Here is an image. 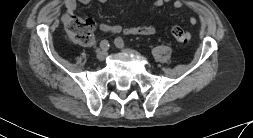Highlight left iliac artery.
<instances>
[{"mask_svg":"<svg viewBox=\"0 0 253 138\" xmlns=\"http://www.w3.org/2000/svg\"><path fill=\"white\" fill-rule=\"evenodd\" d=\"M115 44H116L118 47H124V46H125L124 41H123V39H122L121 37H117V38L115 39Z\"/></svg>","mask_w":253,"mask_h":138,"instance_id":"1","label":"left iliac artery"}]
</instances>
